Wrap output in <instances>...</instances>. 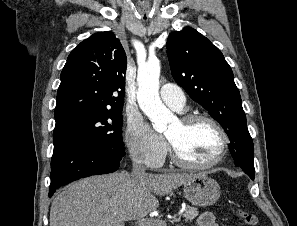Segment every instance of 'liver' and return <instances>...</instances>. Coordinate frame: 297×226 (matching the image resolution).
<instances>
[{"mask_svg": "<svg viewBox=\"0 0 297 226\" xmlns=\"http://www.w3.org/2000/svg\"><path fill=\"white\" fill-rule=\"evenodd\" d=\"M197 175L116 172L81 179L52 202L50 226H124L156 210V195H167Z\"/></svg>", "mask_w": 297, "mask_h": 226, "instance_id": "6515ba94", "label": "liver"}]
</instances>
